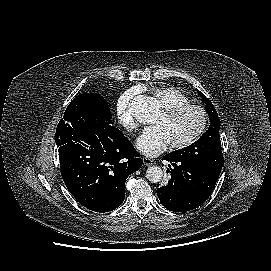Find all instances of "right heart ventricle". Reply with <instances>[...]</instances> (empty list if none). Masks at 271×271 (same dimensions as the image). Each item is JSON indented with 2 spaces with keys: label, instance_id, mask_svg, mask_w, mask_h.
<instances>
[{
  "label": "right heart ventricle",
  "instance_id": "1",
  "mask_svg": "<svg viewBox=\"0 0 271 271\" xmlns=\"http://www.w3.org/2000/svg\"><path fill=\"white\" fill-rule=\"evenodd\" d=\"M150 92L161 108L189 103V98L180 90L170 86H156Z\"/></svg>",
  "mask_w": 271,
  "mask_h": 271
}]
</instances>
